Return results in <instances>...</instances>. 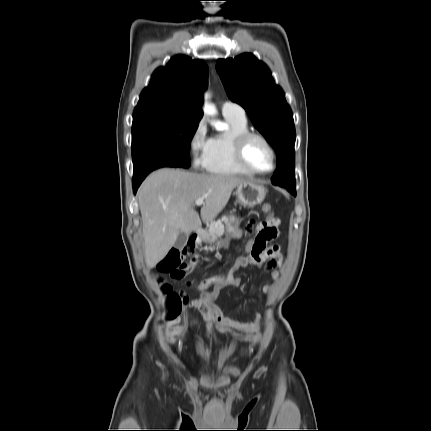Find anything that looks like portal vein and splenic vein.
I'll list each match as a JSON object with an SVG mask.
<instances>
[{"mask_svg": "<svg viewBox=\"0 0 431 431\" xmlns=\"http://www.w3.org/2000/svg\"><path fill=\"white\" fill-rule=\"evenodd\" d=\"M204 204V198H198L196 201H195V205L196 206H201V205H203Z\"/></svg>", "mask_w": 431, "mask_h": 431, "instance_id": "18ae733b", "label": "portal vein and splenic vein"}]
</instances>
